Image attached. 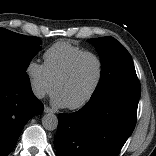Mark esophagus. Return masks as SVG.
I'll return each mask as SVG.
<instances>
[{
    "label": "esophagus",
    "mask_w": 156,
    "mask_h": 156,
    "mask_svg": "<svg viewBox=\"0 0 156 156\" xmlns=\"http://www.w3.org/2000/svg\"><path fill=\"white\" fill-rule=\"evenodd\" d=\"M44 112L45 113H55V111L53 109L49 108L48 106L44 107Z\"/></svg>",
    "instance_id": "1"
}]
</instances>
